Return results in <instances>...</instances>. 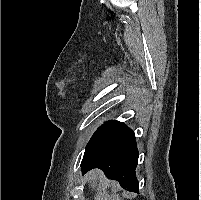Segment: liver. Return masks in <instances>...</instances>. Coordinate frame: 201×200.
<instances>
[{"instance_id":"liver-1","label":"liver","mask_w":201,"mask_h":200,"mask_svg":"<svg viewBox=\"0 0 201 200\" xmlns=\"http://www.w3.org/2000/svg\"><path fill=\"white\" fill-rule=\"evenodd\" d=\"M88 177L90 178V186L95 188L97 186V182L101 177V172L99 171H92L89 173ZM107 184L102 186V189L97 192L94 200H120V197L116 194H108Z\"/></svg>"}]
</instances>
